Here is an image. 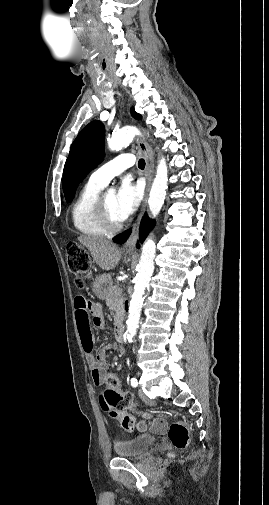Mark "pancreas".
Listing matches in <instances>:
<instances>
[{
    "instance_id": "pancreas-1",
    "label": "pancreas",
    "mask_w": 269,
    "mask_h": 505,
    "mask_svg": "<svg viewBox=\"0 0 269 505\" xmlns=\"http://www.w3.org/2000/svg\"><path fill=\"white\" fill-rule=\"evenodd\" d=\"M106 304L107 306L114 310L116 313L115 316V322H117L118 318L120 317L121 320L123 318V296H122V291L118 286H112L107 295H106Z\"/></svg>"
}]
</instances>
